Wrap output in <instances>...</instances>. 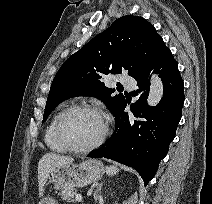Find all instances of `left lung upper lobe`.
Wrapping results in <instances>:
<instances>
[{"label":"left lung upper lobe","instance_id":"obj_1","mask_svg":"<svg viewBox=\"0 0 212 204\" xmlns=\"http://www.w3.org/2000/svg\"><path fill=\"white\" fill-rule=\"evenodd\" d=\"M166 48L154 26L143 17L117 19L63 63L53 79L43 121L59 103L75 95L98 97L115 113L125 96L112 95L115 90L108 89L103 79L123 70L134 78Z\"/></svg>","mask_w":212,"mask_h":204}]
</instances>
